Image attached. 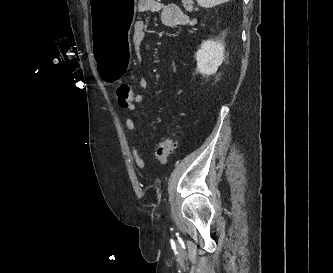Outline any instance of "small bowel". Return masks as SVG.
Listing matches in <instances>:
<instances>
[{"label":"small bowel","mask_w":333,"mask_h":273,"mask_svg":"<svg viewBox=\"0 0 333 273\" xmlns=\"http://www.w3.org/2000/svg\"><path fill=\"white\" fill-rule=\"evenodd\" d=\"M138 12L140 14L146 13H159L161 23L167 27H182L191 23L188 16L182 10V8L174 3H164L160 0H138L137 5ZM147 30V24L143 20H138L134 23L133 33H132V45L135 51L136 59L138 63L143 62L142 47L145 41ZM172 72L177 76L179 75L178 62L173 60L171 63ZM149 86V82L146 78H141L139 80V88L141 90H146ZM132 98H134L135 108L134 109H124L129 112H133L136 106L143 101V95L140 93H133ZM119 102V100H118ZM121 107V105H120ZM125 126L127 131L132 135L136 131L135 121L131 117L125 118ZM133 161L136 167L140 170L146 168V162L142 158L137 147H133L131 150Z\"/></svg>","instance_id":"small-bowel-1"}]
</instances>
